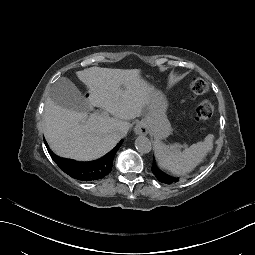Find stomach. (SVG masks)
I'll list each match as a JSON object with an SVG mask.
<instances>
[{"instance_id":"obj_1","label":"stomach","mask_w":255,"mask_h":255,"mask_svg":"<svg viewBox=\"0 0 255 255\" xmlns=\"http://www.w3.org/2000/svg\"><path fill=\"white\" fill-rule=\"evenodd\" d=\"M144 94L147 98L157 102L158 109L156 111L153 108V113L148 114L140 124L145 131L150 130L157 138H162L170 131V123L165 116L169 114L172 104L165 93L152 86L147 87Z\"/></svg>"}]
</instances>
